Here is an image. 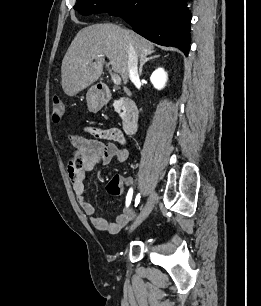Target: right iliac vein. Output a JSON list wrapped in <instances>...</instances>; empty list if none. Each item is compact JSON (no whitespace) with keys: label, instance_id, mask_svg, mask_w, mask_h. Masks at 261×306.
Instances as JSON below:
<instances>
[{"label":"right iliac vein","instance_id":"right-iliac-vein-1","mask_svg":"<svg viewBox=\"0 0 261 306\" xmlns=\"http://www.w3.org/2000/svg\"><path fill=\"white\" fill-rule=\"evenodd\" d=\"M156 197H157L156 193L152 191L144 208L142 209V211L140 212V214L137 216L136 220L132 224L130 232H132L136 227H138L151 213L156 201Z\"/></svg>","mask_w":261,"mask_h":306}]
</instances>
